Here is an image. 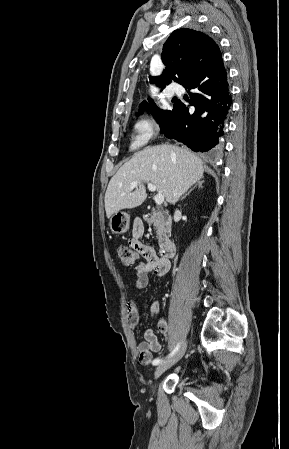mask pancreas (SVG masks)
Returning <instances> with one entry per match:
<instances>
[{"mask_svg":"<svg viewBox=\"0 0 289 449\" xmlns=\"http://www.w3.org/2000/svg\"><path fill=\"white\" fill-rule=\"evenodd\" d=\"M144 220L149 225L154 226L159 244L168 238L167 234L171 230V221L161 211H153L151 214L145 215Z\"/></svg>","mask_w":289,"mask_h":449,"instance_id":"cf45deb5","label":"pancreas"}]
</instances>
